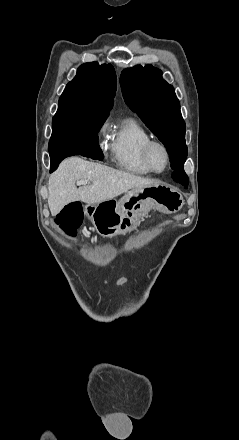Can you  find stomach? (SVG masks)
<instances>
[{
    "instance_id": "obj_1",
    "label": "stomach",
    "mask_w": 239,
    "mask_h": 440,
    "mask_svg": "<svg viewBox=\"0 0 239 440\" xmlns=\"http://www.w3.org/2000/svg\"><path fill=\"white\" fill-rule=\"evenodd\" d=\"M184 204L182 194L169 186L158 184L150 188H133L120 200H106L100 204H86L84 214L92 222L97 234L114 238L136 230L141 218L152 208L163 214H175Z\"/></svg>"
}]
</instances>
